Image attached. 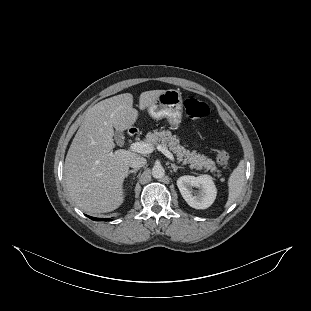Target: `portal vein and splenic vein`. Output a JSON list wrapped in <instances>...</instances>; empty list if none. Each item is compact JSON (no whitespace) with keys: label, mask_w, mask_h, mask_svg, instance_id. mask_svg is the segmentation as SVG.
I'll return each instance as SVG.
<instances>
[{"label":"portal vein and splenic vein","mask_w":311,"mask_h":311,"mask_svg":"<svg viewBox=\"0 0 311 311\" xmlns=\"http://www.w3.org/2000/svg\"><path fill=\"white\" fill-rule=\"evenodd\" d=\"M130 149L133 152L141 153V154H150L154 151L153 146L148 143L144 142H134L130 145ZM157 150L163 153L167 158H169L171 161H174V156L172 152L168 150L167 147H164L162 145L157 146Z\"/></svg>","instance_id":"portal-vein-and-splenic-vein-1"}]
</instances>
